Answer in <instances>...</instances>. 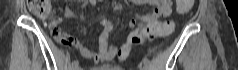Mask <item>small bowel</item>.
<instances>
[{"label": "small bowel", "instance_id": "c3829d8e", "mask_svg": "<svg viewBox=\"0 0 238 70\" xmlns=\"http://www.w3.org/2000/svg\"><path fill=\"white\" fill-rule=\"evenodd\" d=\"M94 1L95 0H89L87 2L93 3ZM136 2L149 3L156 6V8L149 14L142 15V16L134 14L135 18L141 19L143 22H144V19H157L158 21L161 18L168 17L171 14L172 6H173L172 0H137ZM64 15L70 19L75 18V15L67 9L64 10ZM132 24H133V21H129L127 26L130 28ZM101 26H102V31L97 39L98 50L94 52L78 39L70 37L67 33H65L63 29L59 27V22L57 20H54L50 23L53 36L57 41L74 46L77 50L80 51V53L84 57L93 60L95 63L112 62L114 61L117 55H120V49H118L117 46L108 43V38L113 29V25L110 20L103 19L101 21ZM54 29H59L60 33L59 34L55 33ZM80 29L82 34H86L87 28L84 23L81 24ZM127 53H128V50H127Z\"/></svg>", "mask_w": 238, "mask_h": 70}]
</instances>
